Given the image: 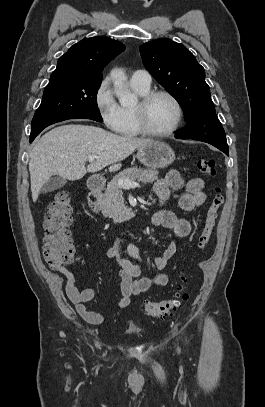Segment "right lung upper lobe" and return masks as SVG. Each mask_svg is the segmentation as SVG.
<instances>
[{"label":"right lung upper lobe","instance_id":"cb5924a9","mask_svg":"<svg viewBox=\"0 0 265 407\" xmlns=\"http://www.w3.org/2000/svg\"><path fill=\"white\" fill-rule=\"evenodd\" d=\"M124 49L121 42L109 37L84 38L59 58L51 76L65 74L101 81L104 67Z\"/></svg>","mask_w":265,"mask_h":407}]
</instances>
